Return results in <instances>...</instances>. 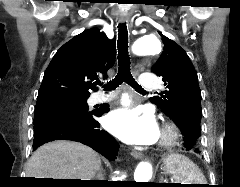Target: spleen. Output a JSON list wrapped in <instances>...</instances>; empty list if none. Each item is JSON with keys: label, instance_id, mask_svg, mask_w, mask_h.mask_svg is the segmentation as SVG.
Here are the masks:
<instances>
[{"label": "spleen", "instance_id": "1", "mask_svg": "<svg viewBox=\"0 0 240 187\" xmlns=\"http://www.w3.org/2000/svg\"><path fill=\"white\" fill-rule=\"evenodd\" d=\"M166 168L176 183L206 184V180L197 165L180 154H171L165 159Z\"/></svg>", "mask_w": 240, "mask_h": 187}]
</instances>
